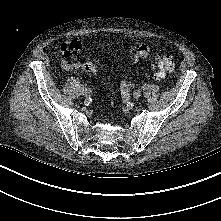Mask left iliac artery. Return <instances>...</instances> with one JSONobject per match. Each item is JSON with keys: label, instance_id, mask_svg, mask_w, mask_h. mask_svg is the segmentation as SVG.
I'll return each mask as SVG.
<instances>
[{"label": "left iliac artery", "instance_id": "obj_1", "mask_svg": "<svg viewBox=\"0 0 221 221\" xmlns=\"http://www.w3.org/2000/svg\"><path fill=\"white\" fill-rule=\"evenodd\" d=\"M121 98L123 103H127L130 98V88L126 82L121 84Z\"/></svg>", "mask_w": 221, "mask_h": 221}]
</instances>
